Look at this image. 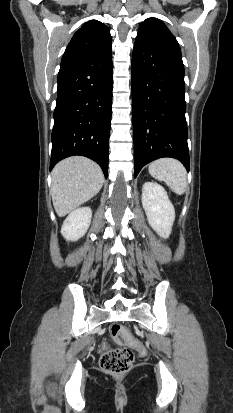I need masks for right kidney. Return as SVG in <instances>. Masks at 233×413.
Returning a JSON list of instances; mask_svg holds the SVG:
<instances>
[{
	"label": "right kidney",
	"instance_id": "right-kidney-1",
	"mask_svg": "<svg viewBox=\"0 0 233 413\" xmlns=\"http://www.w3.org/2000/svg\"><path fill=\"white\" fill-rule=\"evenodd\" d=\"M92 218L90 207H82L71 212L65 219L61 234L68 241H77L87 232Z\"/></svg>",
	"mask_w": 233,
	"mask_h": 413
}]
</instances>
